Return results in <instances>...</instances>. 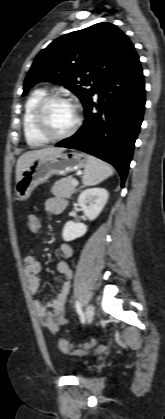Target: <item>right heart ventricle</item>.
<instances>
[{
  "mask_svg": "<svg viewBox=\"0 0 165 419\" xmlns=\"http://www.w3.org/2000/svg\"><path fill=\"white\" fill-rule=\"evenodd\" d=\"M45 95H47V93L44 89H36L31 92L24 105L22 118L24 137L26 142L33 147L47 143V140L37 132L34 125L35 107Z\"/></svg>",
  "mask_w": 165,
  "mask_h": 419,
  "instance_id": "e07e8e85",
  "label": "right heart ventricle"
}]
</instances>
